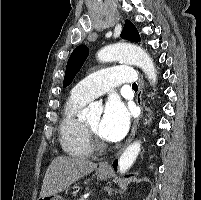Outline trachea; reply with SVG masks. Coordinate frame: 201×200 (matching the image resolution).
<instances>
[{
    "instance_id": "1",
    "label": "trachea",
    "mask_w": 201,
    "mask_h": 200,
    "mask_svg": "<svg viewBox=\"0 0 201 200\" xmlns=\"http://www.w3.org/2000/svg\"><path fill=\"white\" fill-rule=\"evenodd\" d=\"M132 88H133V89H138V85H137L136 83H133V84H132Z\"/></svg>"
}]
</instances>
